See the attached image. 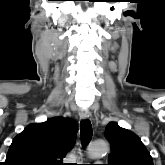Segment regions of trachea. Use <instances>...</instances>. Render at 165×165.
I'll return each mask as SVG.
<instances>
[{"label": "trachea", "mask_w": 165, "mask_h": 165, "mask_svg": "<svg viewBox=\"0 0 165 165\" xmlns=\"http://www.w3.org/2000/svg\"><path fill=\"white\" fill-rule=\"evenodd\" d=\"M92 125L91 122L87 120H82L80 123V134L81 143L83 147H86L92 139Z\"/></svg>", "instance_id": "trachea-1"}]
</instances>
